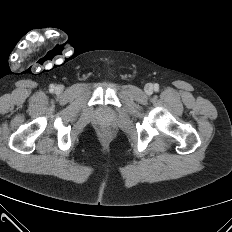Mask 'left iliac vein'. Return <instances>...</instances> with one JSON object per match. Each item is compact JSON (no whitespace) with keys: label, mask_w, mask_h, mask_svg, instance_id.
Returning a JSON list of instances; mask_svg holds the SVG:
<instances>
[{"label":"left iliac vein","mask_w":232,"mask_h":232,"mask_svg":"<svg viewBox=\"0 0 232 232\" xmlns=\"http://www.w3.org/2000/svg\"><path fill=\"white\" fill-rule=\"evenodd\" d=\"M145 92L147 94H152V92H153V85L152 84H146L145 85Z\"/></svg>","instance_id":"4c4485c4"}]
</instances>
